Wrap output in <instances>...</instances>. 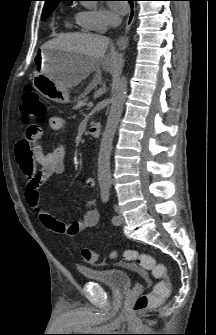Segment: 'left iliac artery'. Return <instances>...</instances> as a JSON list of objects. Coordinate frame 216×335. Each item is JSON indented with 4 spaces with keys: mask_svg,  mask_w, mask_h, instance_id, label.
<instances>
[{
    "mask_svg": "<svg viewBox=\"0 0 216 335\" xmlns=\"http://www.w3.org/2000/svg\"><path fill=\"white\" fill-rule=\"evenodd\" d=\"M110 187L111 185L109 183H105L101 185V199L104 203H107L110 198ZM118 220V217L116 215L112 216L111 221L112 223H116Z\"/></svg>",
    "mask_w": 216,
    "mask_h": 335,
    "instance_id": "1",
    "label": "left iliac artery"
}]
</instances>
